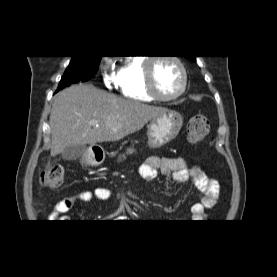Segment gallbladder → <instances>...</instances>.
<instances>
[{
	"instance_id": "bac80fb5",
	"label": "gallbladder",
	"mask_w": 277,
	"mask_h": 277,
	"mask_svg": "<svg viewBox=\"0 0 277 277\" xmlns=\"http://www.w3.org/2000/svg\"><path fill=\"white\" fill-rule=\"evenodd\" d=\"M85 145H70L62 152V158L65 160H76L82 156L86 151Z\"/></svg>"
}]
</instances>
